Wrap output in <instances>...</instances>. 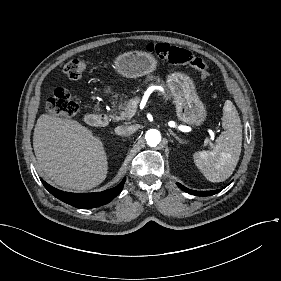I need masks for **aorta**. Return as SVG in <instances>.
I'll return each instance as SVG.
<instances>
[{
	"mask_svg": "<svg viewBox=\"0 0 281 281\" xmlns=\"http://www.w3.org/2000/svg\"><path fill=\"white\" fill-rule=\"evenodd\" d=\"M145 139L149 146L155 147L161 141L160 132L156 129H150L146 132Z\"/></svg>",
	"mask_w": 281,
	"mask_h": 281,
	"instance_id": "1",
	"label": "aorta"
}]
</instances>
